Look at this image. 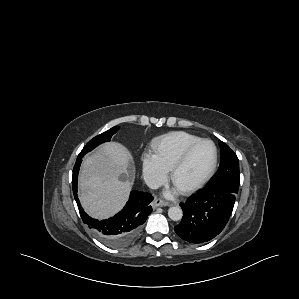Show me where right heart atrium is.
<instances>
[{
    "label": "right heart atrium",
    "mask_w": 299,
    "mask_h": 299,
    "mask_svg": "<svg viewBox=\"0 0 299 299\" xmlns=\"http://www.w3.org/2000/svg\"><path fill=\"white\" fill-rule=\"evenodd\" d=\"M142 173L145 182L152 188L162 185L168 176L166 169L158 162L154 154L145 153L142 159Z\"/></svg>",
    "instance_id": "1"
}]
</instances>
